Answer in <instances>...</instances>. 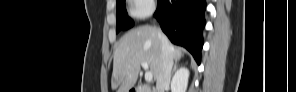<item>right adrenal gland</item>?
Listing matches in <instances>:
<instances>
[{"label":"right adrenal gland","instance_id":"right-adrenal-gland-1","mask_svg":"<svg viewBox=\"0 0 296 92\" xmlns=\"http://www.w3.org/2000/svg\"><path fill=\"white\" fill-rule=\"evenodd\" d=\"M178 68H180V65L178 64V62H175L172 69V75L178 70Z\"/></svg>","mask_w":296,"mask_h":92}]
</instances>
